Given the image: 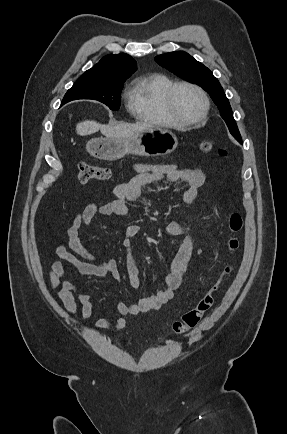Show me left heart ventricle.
<instances>
[{"label":"left heart ventricle","instance_id":"obj_1","mask_svg":"<svg viewBox=\"0 0 287 434\" xmlns=\"http://www.w3.org/2000/svg\"><path fill=\"white\" fill-rule=\"evenodd\" d=\"M175 111L183 119H195L203 111V102L199 94L188 87L177 90L174 99Z\"/></svg>","mask_w":287,"mask_h":434}]
</instances>
